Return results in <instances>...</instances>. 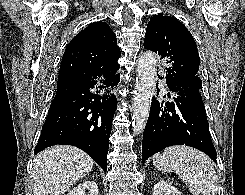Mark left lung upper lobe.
Segmentation results:
<instances>
[{
	"instance_id": "left-lung-upper-lobe-1",
	"label": "left lung upper lobe",
	"mask_w": 245,
	"mask_h": 195,
	"mask_svg": "<svg viewBox=\"0 0 245 195\" xmlns=\"http://www.w3.org/2000/svg\"><path fill=\"white\" fill-rule=\"evenodd\" d=\"M144 48L166 61V78L181 85L202 88L197 72L200 59L197 45L187 28L176 18L154 15L147 25Z\"/></svg>"
}]
</instances>
